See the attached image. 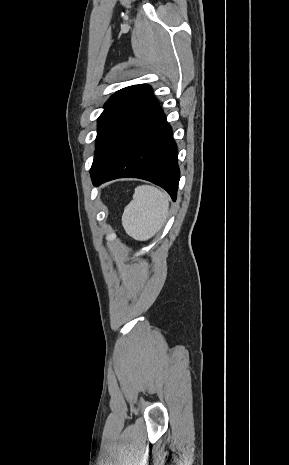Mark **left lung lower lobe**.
I'll list each match as a JSON object with an SVG mask.
<instances>
[{
	"label": "left lung lower lobe",
	"instance_id": "1",
	"mask_svg": "<svg viewBox=\"0 0 289 465\" xmlns=\"http://www.w3.org/2000/svg\"><path fill=\"white\" fill-rule=\"evenodd\" d=\"M91 177L94 185L123 177L145 179L164 188L176 200L180 177L177 146L155 98Z\"/></svg>",
	"mask_w": 289,
	"mask_h": 465
}]
</instances>
